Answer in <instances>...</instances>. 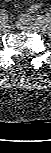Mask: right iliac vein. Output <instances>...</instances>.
<instances>
[{"mask_svg":"<svg viewBox=\"0 0 51 153\" xmlns=\"http://www.w3.org/2000/svg\"><path fill=\"white\" fill-rule=\"evenodd\" d=\"M0 30L3 33H7L10 31V26L7 23H2L0 26Z\"/></svg>","mask_w":51,"mask_h":153,"instance_id":"obj_1","label":"right iliac vein"}]
</instances>
